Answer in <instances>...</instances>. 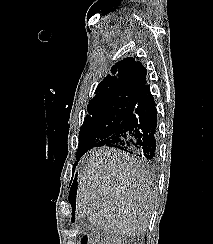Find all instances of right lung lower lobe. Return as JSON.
I'll return each mask as SVG.
<instances>
[{"label": "right lung lower lobe", "instance_id": "1", "mask_svg": "<svg viewBox=\"0 0 213 244\" xmlns=\"http://www.w3.org/2000/svg\"><path fill=\"white\" fill-rule=\"evenodd\" d=\"M156 129L155 101L150 92V85H146L135 97L129 115L120 123L117 131L97 142L94 147H115L135 156L152 160L156 153ZM83 154L78 155L77 159L81 158ZM75 195L76 185L73 183L69 197L71 204L74 202Z\"/></svg>", "mask_w": 213, "mask_h": 244}]
</instances>
